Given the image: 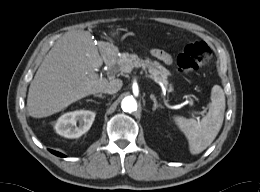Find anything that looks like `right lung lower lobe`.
I'll list each match as a JSON object with an SVG mask.
<instances>
[{"label":"right lung lower lobe","instance_id":"1","mask_svg":"<svg viewBox=\"0 0 260 192\" xmlns=\"http://www.w3.org/2000/svg\"><path fill=\"white\" fill-rule=\"evenodd\" d=\"M51 153H53L54 155L56 156H59V157H65L64 154L60 153V152H57V151H54V150H49Z\"/></svg>","mask_w":260,"mask_h":192}]
</instances>
